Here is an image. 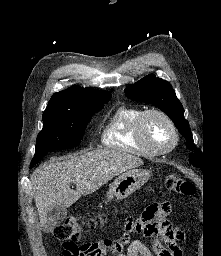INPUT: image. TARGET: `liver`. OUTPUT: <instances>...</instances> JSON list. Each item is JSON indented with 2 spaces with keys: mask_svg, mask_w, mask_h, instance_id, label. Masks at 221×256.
Instances as JSON below:
<instances>
[{
  "mask_svg": "<svg viewBox=\"0 0 221 256\" xmlns=\"http://www.w3.org/2000/svg\"><path fill=\"white\" fill-rule=\"evenodd\" d=\"M143 164L129 153L101 149L40 165L31 176L40 226H45L48 211L54 206L68 208L81 195L91 194L117 175ZM71 183L76 185L75 191Z\"/></svg>",
  "mask_w": 221,
  "mask_h": 256,
  "instance_id": "obj_1",
  "label": "liver"
}]
</instances>
